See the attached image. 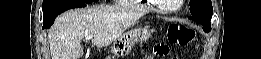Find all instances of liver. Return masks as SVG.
I'll return each mask as SVG.
<instances>
[{"label": "liver", "instance_id": "liver-1", "mask_svg": "<svg viewBox=\"0 0 261 59\" xmlns=\"http://www.w3.org/2000/svg\"><path fill=\"white\" fill-rule=\"evenodd\" d=\"M141 13L123 12L109 6L71 10L61 14L48 31L52 59H80L81 40L90 35L97 47H105L120 38Z\"/></svg>", "mask_w": 261, "mask_h": 59}]
</instances>
